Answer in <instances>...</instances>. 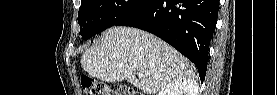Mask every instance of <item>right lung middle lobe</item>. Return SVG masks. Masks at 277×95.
<instances>
[{
  "label": "right lung middle lobe",
  "instance_id": "1",
  "mask_svg": "<svg viewBox=\"0 0 277 95\" xmlns=\"http://www.w3.org/2000/svg\"><path fill=\"white\" fill-rule=\"evenodd\" d=\"M143 0H82L78 13L80 35L88 39L116 25Z\"/></svg>",
  "mask_w": 277,
  "mask_h": 95
}]
</instances>
